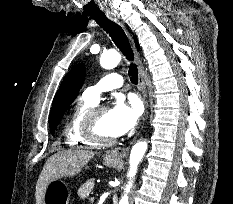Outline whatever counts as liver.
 Wrapping results in <instances>:
<instances>
[{"label": "liver", "mask_w": 233, "mask_h": 204, "mask_svg": "<svg viewBox=\"0 0 233 204\" xmlns=\"http://www.w3.org/2000/svg\"><path fill=\"white\" fill-rule=\"evenodd\" d=\"M94 154L89 150L68 149L52 155L46 161L36 184V204L43 203L45 189L51 181L79 174Z\"/></svg>", "instance_id": "6515ba94"}]
</instances>
